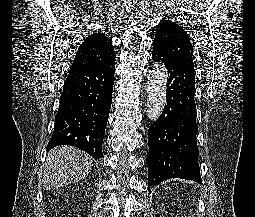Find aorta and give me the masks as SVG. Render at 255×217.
<instances>
[{
	"label": "aorta",
	"instance_id": "aorta-1",
	"mask_svg": "<svg viewBox=\"0 0 255 217\" xmlns=\"http://www.w3.org/2000/svg\"><path fill=\"white\" fill-rule=\"evenodd\" d=\"M166 70L164 66L155 64L147 76V116L151 120L160 117L166 102Z\"/></svg>",
	"mask_w": 255,
	"mask_h": 217
}]
</instances>
